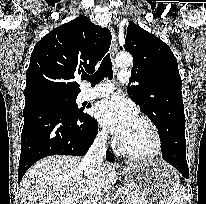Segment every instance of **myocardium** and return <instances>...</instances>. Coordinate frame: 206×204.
<instances>
[{"label": "myocardium", "instance_id": "1", "mask_svg": "<svg viewBox=\"0 0 206 204\" xmlns=\"http://www.w3.org/2000/svg\"><path fill=\"white\" fill-rule=\"evenodd\" d=\"M137 118L142 120L149 127V129L151 130L152 135L154 137V148H153V150L148 152V153H135V152H132V151L128 150L125 147L124 143L121 142L120 143V151L124 155H126L130 158H133V159H139V160L154 159V158L158 157L162 153V150H163V140H162L161 133H160L157 125L147 115L138 114Z\"/></svg>", "mask_w": 206, "mask_h": 204}]
</instances>
